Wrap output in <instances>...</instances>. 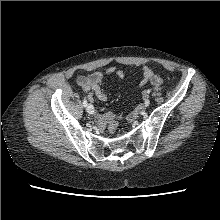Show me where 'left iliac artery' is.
<instances>
[{"instance_id":"1","label":"left iliac artery","mask_w":220,"mask_h":220,"mask_svg":"<svg viewBox=\"0 0 220 220\" xmlns=\"http://www.w3.org/2000/svg\"><path fill=\"white\" fill-rule=\"evenodd\" d=\"M150 92H151L150 89H148V90L146 91L147 94H149ZM145 104H146V106H149L150 100H149V99L145 100Z\"/></svg>"}]
</instances>
